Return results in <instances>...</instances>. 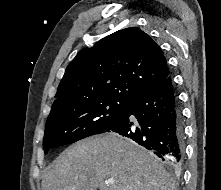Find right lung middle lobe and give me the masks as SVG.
Instances as JSON below:
<instances>
[{
  "label": "right lung middle lobe",
  "mask_w": 221,
  "mask_h": 190,
  "mask_svg": "<svg viewBox=\"0 0 221 190\" xmlns=\"http://www.w3.org/2000/svg\"><path fill=\"white\" fill-rule=\"evenodd\" d=\"M126 103L121 99L104 98L51 110L43 139L45 154L53 147L112 129L123 117Z\"/></svg>",
  "instance_id": "dd1d6c3e"
}]
</instances>
